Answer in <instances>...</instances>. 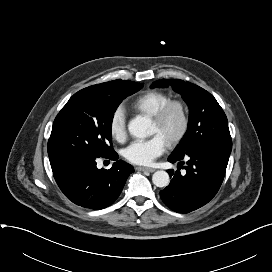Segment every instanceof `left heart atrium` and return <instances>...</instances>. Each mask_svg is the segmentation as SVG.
I'll return each mask as SVG.
<instances>
[{
    "mask_svg": "<svg viewBox=\"0 0 272 272\" xmlns=\"http://www.w3.org/2000/svg\"><path fill=\"white\" fill-rule=\"evenodd\" d=\"M167 142L159 134H154L146 140L132 142L123 152L126 160L137 165H148L162 155Z\"/></svg>",
    "mask_w": 272,
    "mask_h": 272,
    "instance_id": "39dd6f15",
    "label": "left heart atrium"
}]
</instances>
